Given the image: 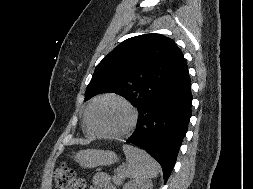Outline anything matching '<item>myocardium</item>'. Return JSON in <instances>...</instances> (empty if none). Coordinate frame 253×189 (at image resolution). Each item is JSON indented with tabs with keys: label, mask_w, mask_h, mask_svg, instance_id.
<instances>
[{
	"label": "myocardium",
	"mask_w": 253,
	"mask_h": 189,
	"mask_svg": "<svg viewBox=\"0 0 253 189\" xmlns=\"http://www.w3.org/2000/svg\"><path fill=\"white\" fill-rule=\"evenodd\" d=\"M107 99H113V100H116V101L122 103L130 112L129 124L123 130H121L119 132H114V133L101 132L93 124V121H92L93 108L99 102L107 100ZM86 122H87V125H88L90 131L98 137L107 138V139L122 138V137L129 135L135 129L137 122H138V111L124 97L117 95V94H113V93L104 94V95H101V96L97 97L96 99H94L91 102V104L89 105L87 112H86Z\"/></svg>",
	"instance_id": "obj_1"
}]
</instances>
